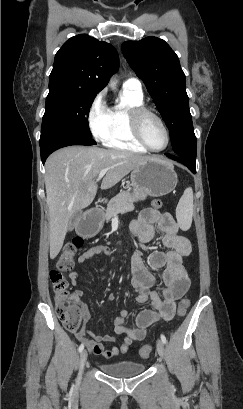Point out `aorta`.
I'll use <instances>...</instances> for the list:
<instances>
[{
	"instance_id": "obj_1",
	"label": "aorta",
	"mask_w": 243,
	"mask_h": 409,
	"mask_svg": "<svg viewBox=\"0 0 243 409\" xmlns=\"http://www.w3.org/2000/svg\"><path fill=\"white\" fill-rule=\"evenodd\" d=\"M109 85L113 90H116V86H117V79L115 76H113L110 81H109Z\"/></svg>"
}]
</instances>
